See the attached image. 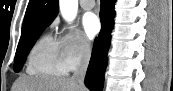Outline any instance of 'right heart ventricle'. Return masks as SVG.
<instances>
[{"instance_id": "e07e8e85", "label": "right heart ventricle", "mask_w": 173, "mask_h": 91, "mask_svg": "<svg viewBox=\"0 0 173 91\" xmlns=\"http://www.w3.org/2000/svg\"><path fill=\"white\" fill-rule=\"evenodd\" d=\"M27 72L38 77H62L68 70L63 62L58 44L44 36L29 54Z\"/></svg>"}]
</instances>
